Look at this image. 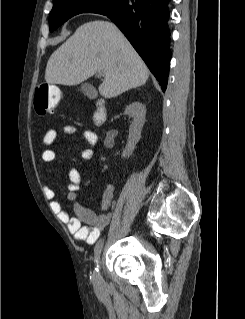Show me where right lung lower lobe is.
Listing matches in <instances>:
<instances>
[{"label":"right lung lower lobe","mask_w":245,"mask_h":319,"mask_svg":"<svg viewBox=\"0 0 245 319\" xmlns=\"http://www.w3.org/2000/svg\"><path fill=\"white\" fill-rule=\"evenodd\" d=\"M169 0H123L106 14L124 33L165 91L170 65Z\"/></svg>","instance_id":"1"}]
</instances>
